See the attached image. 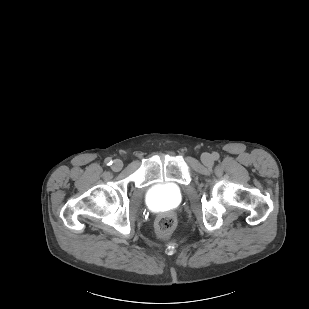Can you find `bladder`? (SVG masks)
Here are the masks:
<instances>
[{"label":"bladder","instance_id":"31cf9c89","mask_svg":"<svg viewBox=\"0 0 309 309\" xmlns=\"http://www.w3.org/2000/svg\"><path fill=\"white\" fill-rule=\"evenodd\" d=\"M183 198L181 189L174 183H160L152 186L147 194L146 201L152 209L176 207Z\"/></svg>","mask_w":309,"mask_h":309}]
</instances>
